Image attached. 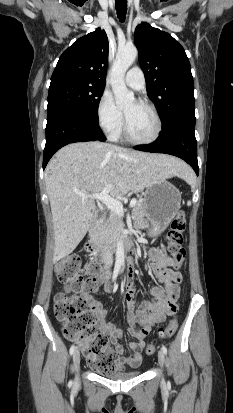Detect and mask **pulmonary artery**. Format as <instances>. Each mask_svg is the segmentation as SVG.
I'll list each match as a JSON object with an SVG mask.
<instances>
[{
  "mask_svg": "<svg viewBox=\"0 0 233 413\" xmlns=\"http://www.w3.org/2000/svg\"><path fill=\"white\" fill-rule=\"evenodd\" d=\"M125 82L135 90H142L145 87V77L142 70L139 67L131 68L126 73Z\"/></svg>",
  "mask_w": 233,
  "mask_h": 413,
  "instance_id": "obj_1",
  "label": "pulmonary artery"
}]
</instances>
